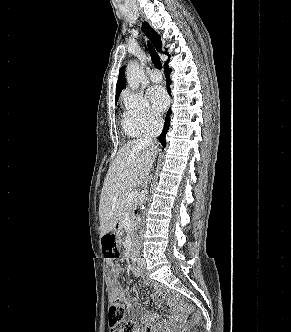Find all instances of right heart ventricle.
Returning a JSON list of instances; mask_svg holds the SVG:
<instances>
[{
	"instance_id": "right-heart-ventricle-1",
	"label": "right heart ventricle",
	"mask_w": 291,
	"mask_h": 332,
	"mask_svg": "<svg viewBox=\"0 0 291 332\" xmlns=\"http://www.w3.org/2000/svg\"><path fill=\"white\" fill-rule=\"evenodd\" d=\"M124 129H125V132L129 136H136V135H138V133L136 131H134L133 129H131L130 127H128L125 123H124Z\"/></svg>"
}]
</instances>
